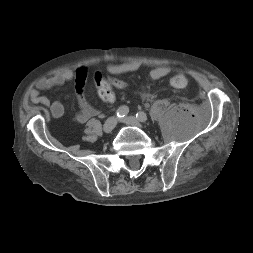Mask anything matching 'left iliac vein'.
<instances>
[{
	"mask_svg": "<svg viewBox=\"0 0 253 253\" xmlns=\"http://www.w3.org/2000/svg\"><path fill=\"white\" fill-rule=\"evenodd\" d=\"M123 121L127 125L136 126V127H139V128L142 127L140 121L138 119H136L134 116L125 117V118H123Z\"/></svg>",
	"mask_w": 253,
	"mask_h": 253,
	"instance_id": "1",
	"label": "left iliac vein"
}]
</instances>
